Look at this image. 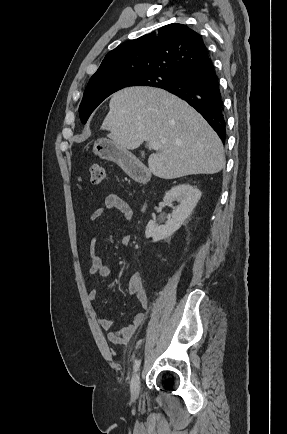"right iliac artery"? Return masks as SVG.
<instances>
[{
	"label": "right iliac artery",
	"instance_id": "1",
	"mask_svg": "<svg viewBox=\"0 0 287 434\" xmlns=\"http://www.w3.org/2000/svg\"><path fill=\"white\" fill-rule=\"evenodd\" d=\"M141 361L139 359H136L133 366V371L136 372L139 369Z\"/></svg>",
	"mask_w": 287,
	"mask_h": 434
}]
</instances>
